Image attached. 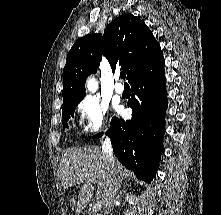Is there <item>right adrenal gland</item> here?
Returning <instances> with one entry per match:
<instances>
[{
	"mask_svg": "<svg viewBox=\"0 0 221 215\" xmlns=\"http://www.w3.org/2000/svg\"><path fill=\"white\" fill-rule=\"evenodd\" d=\"M121 186H122V182L118 181L117 185H116V192L121 188ZM124 188H125V186H124Z\"/></svg>",
	"mask_w": 221,
	"mask_h": 215,
	"instance_id": "2a0ac1e0",
	"label": "right adrenal gland"
}]
</instances>
